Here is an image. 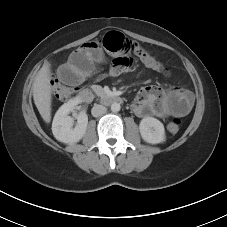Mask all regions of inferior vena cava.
<instances>
[{
	"mask_svg": "<svg viewBox=\"0 0 227 227\" xmlns=\"http://www.w3.org/2000/svg\"><path fill=\"white\" fill-rule=\"evenodd\" d=\"M107 111L106 107L103 105H94V107L91 110V113L94 117H99L105 114Z\"/></svg>",
	"mask_w": 227,
	"mask_h": 227,
	"instance_id": "602c4592",
	"label": "inferior vena cava"
}]
</instances>
